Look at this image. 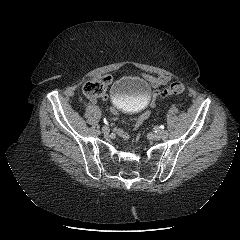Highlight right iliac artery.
<instances>
[{
    "label": "right iliac artery",
    "instance_id": "1",
    "mask_svg": "<svg viewBox=\"0 0 240 240\" xmlns=\"http://www.w3.org/2000/svg\"><path fill=\"white\" fill-rule=\"evenodd\" d=\"M94 132H95V134H97V135H98V134H100V132H101V131H100V129H98V128H97V129H95V131H94Z\"/></svg>",
    "mask_w": 240,
    "mask_h": 240
}]
</instances>
